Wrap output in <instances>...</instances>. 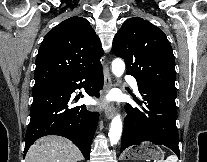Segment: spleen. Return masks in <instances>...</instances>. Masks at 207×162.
I'll list each match as a JSON object with an SVG mask.
<instances>
[{"mask_svg":"<svg viewBox=\"0 0 207 162\" xmlns=\"http://www.w3.org/2000/svg\"><path fill=\"white\" fill-rule=\"evenodd\" d=\"M178 158L176 155H170L167 157L165 161H159V162H177Z\"/></svg>","mask_w":207,"mask_h":162,"instance_id":"obj_1","label":"spleen"}]
</instances>
